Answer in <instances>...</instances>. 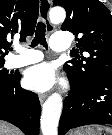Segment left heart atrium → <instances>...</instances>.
<instances>
[{"label": "left heart atrium", "mask_w": 112, "mask_h": 135, "mask_svg": "<svg viewBox=\"0 0 112 135\" xmlns=\"http://www.w3.org/2000/svg\"><path fill=\"white\" fill-rule=\"evenodd\" d=\"M23 82L28 89L45 92L58 82V77L52 65L43 63L28 68Z\"/></svg>", "instance_id": "obj_1"}]
</instances>
